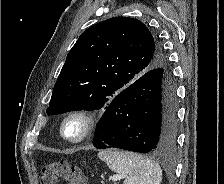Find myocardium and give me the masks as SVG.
Returning <instances> with one entry per match:
<instances>
[{"label":"myocardium","instance_id":"myocardium-1","mask_svg":"<svg viewBox=\"0 0 224 184\" xmlns=\"http://www.w3.org/2000/svg\"><path fill=\"white\" fill-rule=\"evenodd\" d=\"M71 120H77L81 124V132L77 137H68L65 134V126ZM97 123L95 114L91 110L87 109H75L68 112L61 121L60 135L63 140L69 144H79L88 139Z\"/></svg>","mask_w":224,"mask_h":184}]
</instances>
